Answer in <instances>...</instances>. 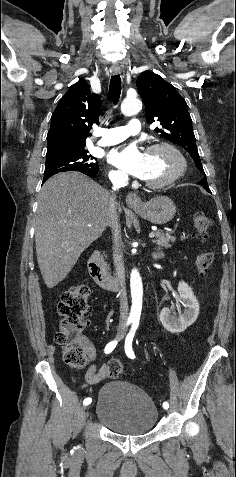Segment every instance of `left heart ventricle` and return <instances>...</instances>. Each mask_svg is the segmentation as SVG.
<instances>
[{"label":"left heart ventricle","mask_w":236,"mask_h":477,"mask_svg":"<svg viewBox=\"0 0 236 477\" xmlns=\"http://www.w3.org/2000/svg\"><path fill=\"white\" fill-rule=\"evenodd\" d=\"M179 168L178 160L166 149L146 153L144 180L158 182L172 176Z\"/></svg>","instance_id":"left-heart-ventricle-1"}]
</instances>
